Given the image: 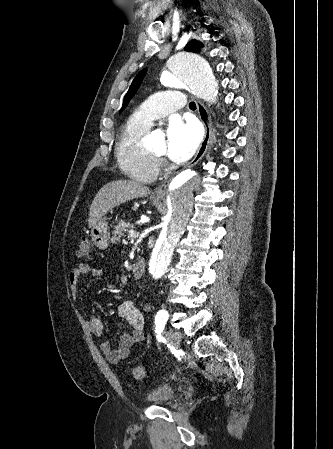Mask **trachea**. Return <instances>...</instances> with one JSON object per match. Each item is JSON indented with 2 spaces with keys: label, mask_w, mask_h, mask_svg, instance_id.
Wrapping results in <instances>:
<instances>
[{
  "label": "trachea",
  "mask_w": 333,
  "mask_h": 449,
  "mask_svg": "<svg viewBox=\"0 0 333 449\" xmlns=\"http://www.w3.org/2000/svg\"><path fill=\"white\" fill-rule=\"evenodd\" d=\"M189 107H190V109L195 110V109H196V104H195V102H190V103H189Z\"/></svg>",
  "instance_id": "trachea-1"
}]
</instances>
